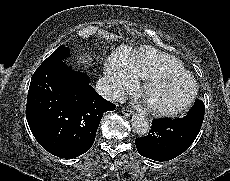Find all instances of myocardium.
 <instances>
[{"label":"myocardium","instance_id":"1","mask_svg":"<svg viewBox=\"0 0 230 181\" xmlns=\"http://www.w3.org/2000/svg\"><path fill=\"white\" fill-rule=\"evenodd\" d=\"M165 78H183L190 82L191 84V91L188 94L187 98L178 106L175 107H161L155 106L149 103L150 110L160 116H176L181 114L185 110L189 108V106L193 103L194 99L197 95V83L195 79L184 69L182 70H165L153 73L151 76L146 78L138 87L139 93L143 96L146 100H148V92L149 89L156 83L160 82Z\"/></svg>","mask_w":230,"mask_h":181}]
</instances>
